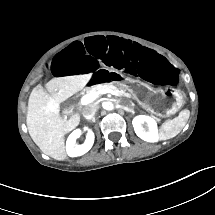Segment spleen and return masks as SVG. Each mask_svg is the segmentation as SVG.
Returning <instances> with one entry per match:
<instances>
[{
    "label": "spleen",
    "instance_id": "spleen-1",
    "mask_svg": "<svg viewBox=\"0 0 215 215\" xmlns=\"http://www.w3.org/2000/svg\"><path fill=\"white\" fill-rule=\"evenodd\" d=\"M186 122L182 119L181 114L172 119L165 121L159 131L160 140H167L175 137L180 133Z\"/></svg>",
    "mask_w": 215,
    "mask_h": 215
}]
</instances>
